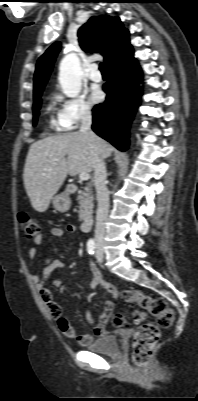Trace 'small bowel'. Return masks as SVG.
Here are the masks:
<instances>
[{"mask_svg": "<svg viewBox=\"0 0 198 401\" xmlns=\"http://www.w3.org/2000/svg\"><path fill=\"white\" fill-rule=\"evenodd\" d=\"M77 231V227L73 224H68L65 226V228H59V227H52L49 229V234L53 238H61L64 236V234L67 233H74ZM42 238L43 234L42 232H39L38 235L35 237L34 240V246H32L29 249V258L31 261H34L38 257V250L37 247L41 245L42 243ZM64 269V263L60 260H52V259H46L45 260V266L43 268V271L41 274H38L34 271L33 267L30 266L29 270L31 273V279L32 282L34 283L36 289L41 295V298L43 302L46 304L48 311L50 315L57 321L59 330L61 334L67 338H73L77 339L82 346L88 345L93 337L91 335H80L77 333L76 329L73 327V325L65 318L62 317L61 314V309L57 305V303L53 299V294L50 289L46 288L44 286L46 280L49 278V276L52 274L54 271L61 272ZM91 270L93 273V279L90 285V288H94L95 286L101 285L103 286L110 296L112 298L117 297V291L116 289L110 285L109 283L105 282L99 271L91 264ZM55 287H60L61 286V281L57 277L54 282H53ZM113 287V289H111ZM60 309V313L58 314L56 312V309ZM113 312V302L112 300H107L104 304L102 314L100 316L98 324L94 327V332L96 336H101L105 332V325L108 322L111 314ZM87 314H89L87 312Z\"/></svg>", "mask_w": 198, "mask_h": 401, "instance_id": "1", "label": "small bowel"}]
</instances>
